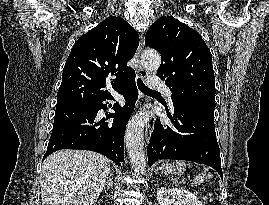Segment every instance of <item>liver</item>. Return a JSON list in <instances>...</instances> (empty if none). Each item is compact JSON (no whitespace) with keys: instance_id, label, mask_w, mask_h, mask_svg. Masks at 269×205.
<instances>
[{"instance_id":"liver-1","label":"liver","mask_w":269,"mask_h":205,"mask_svg":"<svg viewBox=\"0 0 269 205\" xmlns=\"http://www.w3.org/2000/svg\"><path fill=\"white\" fill-rule=\"evenodd\" d=\"M110 173V161L87 150H60L45 159L42 205H93Z\"/></svg>"}]
</instances>
